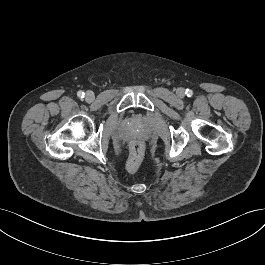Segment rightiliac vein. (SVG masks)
<instances>
[{
  "instance_id": "63e3f726",
  "label": "right iliac vein",
  "mask_w": 265,
  "mask_h": 265,
  "mask_svg": "<svg viewBox=\"0 0 265 265\" xmlns=\"http://www.w3.org/2000/svg\"><path fill=\"white\" fill-rule=\"evenodd\" d=\"M85 100L87 102H92L94 100V94L90 91H88L85 95Z\"/></svg>"
}]
</instances>
